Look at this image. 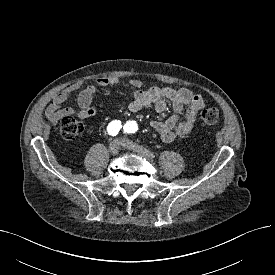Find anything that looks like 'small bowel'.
I'll return each instance as SVG.
<instances>
[{"mask_svg":"<svg viewBox=\"0 0 275 275\" xmlns=\"http://www.w3.org/2000/svg\"><path fill=\"white\" fill-rule=\"evenodd\" d=\"M117 84L118 79L115 77L100 78L96 84L87 85L83 89H81V82L72 83L54 96L46 109L47 118L52 123L68 115H75L80 119L91 118L97 113L92 100L98 88H111ZM129 84L137 88L133 94V100L128 106L131 112L153 107L161 113L165 111L167 101L172 104L173 114L169 118L163 121L154 120L150 123V126L164 142H172L177 136L184 137L192 132L196 124L197 114L205 106L204 98L200 94H194L187 88L145 87L138 79H130ZM77 90H80L77 97V107H64L63 104L69 99L71 93ZM184 111L185 117L180 120Z\"/></svg>","mask_w":275,"mask_h":275,"instance_id":"obj_1","label":"small bowel"}]
</instances>
